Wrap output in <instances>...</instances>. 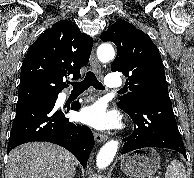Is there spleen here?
<instances>
[{
    "instance_id": "obj_1",
    "label": "spleen",
    "mask_w": 194,
    "mask_h": 178,
    "mask_svg": "<svg viewBox=\"0 0 194 178\" xmlns=\"http://www.w3.org/2000/svg\"><path fill=\"white\" fill-rule=\"evenodd\" d=\"M165 178H186V171L183 163L177 160L171 161L167 168Z\"/></svg>"
}]
</instances>
